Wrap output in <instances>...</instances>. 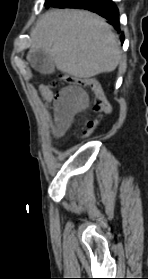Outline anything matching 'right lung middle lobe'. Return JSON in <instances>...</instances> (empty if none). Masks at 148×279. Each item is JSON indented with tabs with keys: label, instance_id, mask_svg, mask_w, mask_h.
Wrapping results in <instances>:
<instances>
[{
	"label": "right lung middle lobe",
	"instance_id": "right-lung-middle-lobe-1",
	"mask_svg": "<svg viewBox=\"0 0 148 279\" xmlns=\"http://www.w3.org/2000/svg\"><path fill=\"white\" fill-rule=\"evenodd\" d=\"M50 0H46L45 2V7L47 6V4L49 3Z\"/></svg>",
	"mask_w": 148,
	"mask_h": 279
}]
</instances>
